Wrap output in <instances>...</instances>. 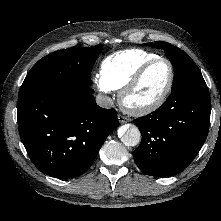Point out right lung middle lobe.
I'll list each match as a JSON object with an SVG mask.
<instances>
[{
	"instance_id": "obj_1",
	"label": "right lung middle lobe",
	"mask_w": 221,
	"mask_h": 221,
	"mask_svg": "<svg viewBox=\"0 0 221 221\" xmlns=\"http://www.w3.org/2000/svg\"><path fill=\"white\" fill-rule=\"evenodd\" d=\"M103 45L55 51L40 59L26 76L19 94L52 88L90 87L91 71Z\"/></svg>"
}]
</instances>
